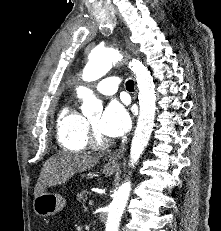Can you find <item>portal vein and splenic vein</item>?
<instances>
[{
	"instance_id": "portal-vein-and-splenic-vein-1",
	"label": "portal vein and splenic vein",
	"mask_w": 221,
	"mask_h": 231,
	"mask_svg": "<svg viewBox=\"0 0 221 231\" xmlns=\"http://www.w3.org/2000/svg\"><path fill=\"white\" fill-rule=\"evenodd\" d=\"M93 203H94L93 199H90L89 200V205H93Z\"/></svg>"
}]
</instances>
